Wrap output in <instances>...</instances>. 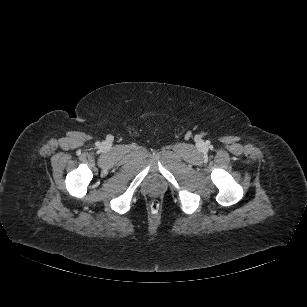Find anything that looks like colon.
<instances>
[{"mask_svg": "<svg viewBox=\"0 0 307 307\" xmlns=\"http://www.w3.org/2000/svg\"><path fill=\"white\" fill-rule=\"evenodd\" d=\"M150 208L153 210V211H157L159 209V203L157 201H152L150 203Z\"/></svg>", "mask_w": 307, "mask_h": 307, "instance_id": "1", "label": "colon"}]
</instances>
